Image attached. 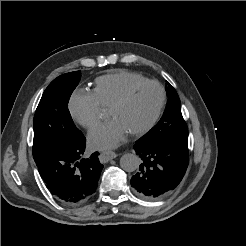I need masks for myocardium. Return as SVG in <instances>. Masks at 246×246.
I'll list each match as a JSON object with an SVG mask.
<instances>
[{
	"instance_id": "1",
	"label": "myocardium",
	"mask_w": 246,
	"mask_h": 246,
	"mask_svg": "<svg viewBox=\"0 0 246 246\" xmlns=\"http://www.w3.org/2000/svg\"><path fill=\"white\" fill-rule=\"evenodd\" d=\"M148 84L155 85L159 89V92H160L159 104H158V107H157L153 117L150 119V121L146 125H144L143 127L139 128V129L129 131V133L133 136H142V135L146 134L155 126V124L159 120V118L163 112L165 103H166V93H165V89L161 85V83L158 82L157 80H153V79H144V80H141L139 82H136V83L130 85L109 107V113L112 112L113 110L121 107L123 104H125L127 102V100L130 98V96L133 94V92L135 90H137L138 88H140L144 85H148Z\"/></svg>"
}]
</instances>
